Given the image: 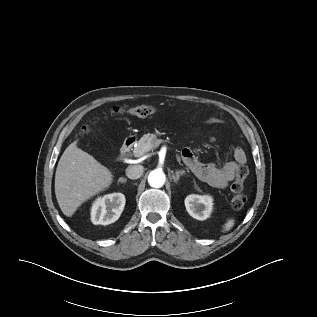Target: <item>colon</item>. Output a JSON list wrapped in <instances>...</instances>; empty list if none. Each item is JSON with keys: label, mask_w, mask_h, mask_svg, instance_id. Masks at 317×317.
<instances>
[{"label": "colon", "mask_w": 317, "mask_h": 317, "mask_svg": "<svg viewBox=\"0 0 317 317\" xmlns=\"http://www.w3.org/2000/svg\"><path fill=\"white\" fill-rule=\"evenodd\" d=\"M115 114L130 115L138 118L150 116L156 112L155 107L151 105H139L128 109L116 107L113 109ZM87 131V128H85ZM248 176V168L242 165L238 168L237 178L231 185V205L234 210L242 209L246 204V195L244 193V180Z\"/></svg>", "instance_id": "colon-1"}]
</instances>
